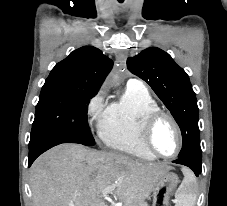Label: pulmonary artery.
Listing matches in <instances>:
<instances>
[{"instance_id":"e3ab8cb5","label":"pulmonary artery","mask_w":227,"mask_h":206,"mask_svg":"<svg viewBox=\"0 0 227 206\" xmlns=\"http://www.w3.org/2000/svg\"><path fill=\"white\" fill-rule=\"evenodd\" d=\"M127 88L146 90L144 83L141 80L136 78H131L127 81Z\"/></svg>"}]
</instances>
